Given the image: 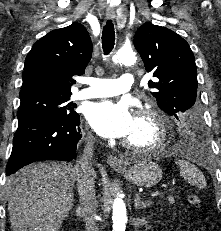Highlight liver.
I'll list each match as a JSON object with an SVG mask.
<instances>
[{
  "label": "liver",
  "mask_w": 221,
  "mask_h": 231,
  "mask_svg": "<svg viewBox=\"0 0 221 231\" xmlns=\"http://www.w3.org/2000/svg\"><path fill=\"white\" fill-rule=\"evenodd\" d=\"M76 165L37 163L6 180L13 231H59L74 202Z\"/></svg>",
  "instance_id": "liver-1"
}]
</instances>
